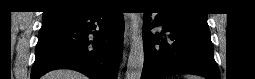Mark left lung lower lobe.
<instances>
[{"mask_svg": "<svg viewBox=\"0 0 255 79\" xmlns=\"http://www.w3.org/2000/svg\"><path fill=\"white\" fill-rule=\"evenodd\" d=\"M151 22V12L144 13V66L141 79H165L178 74L200 75L219 79L207 19L180 15L159 8ZM163 26L167 38L152 34L154 26Z\"/></svg>", "mask_w": 255, "mask_h": 79, "instance_id": "1", "label": "left lung lower lobe"}]
</instances>
